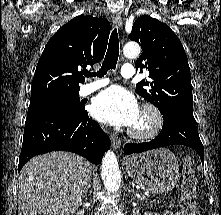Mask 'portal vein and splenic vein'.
Here are the masks:
<instances>
[{"mask_svg":"<svg viewBox=\"0 0 221 215\" xmlns=\"http://www.w3.org/2000/svg\"><path fill=\"white\" fill-rule=\"evenodd\" d=\"M143 197H144V196L138 195V198H139L140 200H143Z\"/></svg>","mask_w":221,"mask_h":215,"instance_id":"1","label":"portal vein and splenic vein"}]
</instances>
